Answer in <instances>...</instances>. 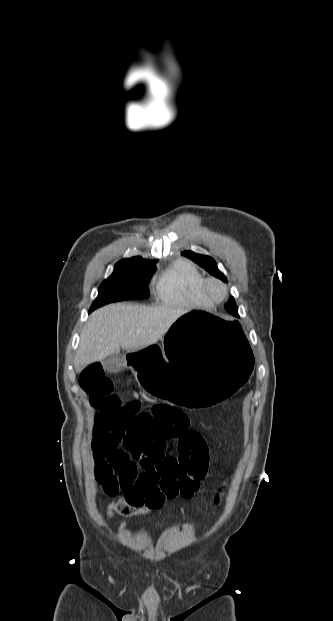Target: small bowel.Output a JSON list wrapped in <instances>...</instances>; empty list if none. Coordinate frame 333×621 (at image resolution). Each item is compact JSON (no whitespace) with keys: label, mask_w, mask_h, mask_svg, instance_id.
Masks as SVG:
<instances>
[{"label":"small bowel","mask_w":333,"mask_h":621,"mask_svg":"<svg viewBox=\"0 0 333 621\" xmlns=\"http://www.w3.org/2000/svg\"><path fill=\"white\" fill-rule=\"evenodd\" d=\"M121 365L115 354L89 363L79 377L80 390L96 410L91 444L95 471L102 464L120 470L127 461H139L143 471L122 498L133 508L157 509L167 499L192 497L208 470L204 439L190 428L180 408L159 403L145 411L135 391L129 390L128 403L114 393L106 373ZM172 438L178 440V456L166 457V443Z\"/></svg>","instance_id":"small-bowel-1"}]
</instances>
